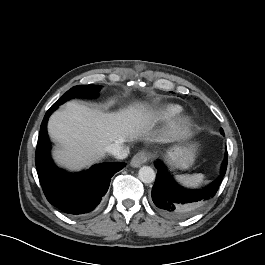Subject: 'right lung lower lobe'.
Listing matches in <instances>:
<instances>
[{"mask_svg": "<svg viewBox=\"0 0 265 265\" xmlns=\"http://www.w3.org/2000/svg\"><path fill=\"white\" fill-rule=\"evenodd\" d=\"M57 108L58 106H51L40 127L35 154L38 177L50 204L66 214L83 216L93 211L100 203L109 188L111 177L121 170L125 163H102L76 174L57 168L50 157L47 135L48 118Z\"/></svg>", "mask_w": 265, "mask_h": 265, "instance_id": "right-lung-lower-lobe-1", "label": "right lung lower lobe"}]
</instances>
